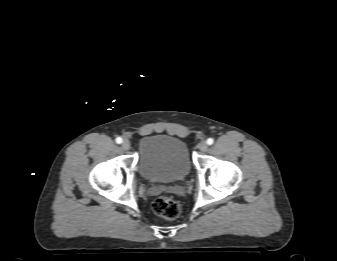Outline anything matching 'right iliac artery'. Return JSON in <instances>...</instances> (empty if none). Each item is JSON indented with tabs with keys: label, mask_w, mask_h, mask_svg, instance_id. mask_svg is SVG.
I'll return each instance as SVG.
<instances>
[{
	"label": "right iliac artery",
	"mask_w": 337,
	"mask_h": 261,
	"mask_svg": "<svg viewBox=\"0 0 337 261\" xmlns=\"http://www.w3.org/2000/svg\"><path fill=\"white\" fill-rule=\"evenodd\" d=\"M123 142L121 137H117L116 138V143L121 144Z\"/></svg>",
	"instance_id": "1"
}]
</instances>
